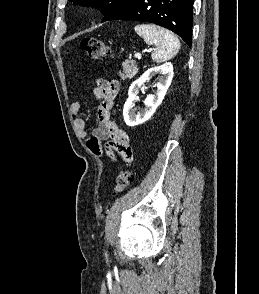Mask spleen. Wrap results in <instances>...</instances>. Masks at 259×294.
Wrapping results in <instances>:
<instances>
[{"mask_svg":"<svg viewBox=\"0 0 259 294\" xmlns=\"http://www.w3.org/2000/svg\"><path fill=\"white\" fill-rule=\"evenodd\" d=\"M134 30L149 45H154L152 59L161 63L172 59L180 49L179 39L169 30L150 24L136 25Z\"/></svg>","mask_w":259,"mask_h":294,"instance_id":"1","label":"spleen"}]
</instances>
